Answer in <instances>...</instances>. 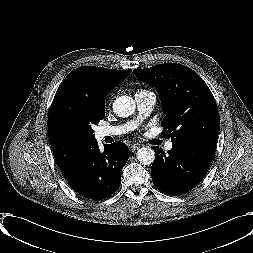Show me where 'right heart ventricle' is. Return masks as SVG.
<instances>
[{"instance_id":"right-heart-ventricle-1","label":"right heart ventricle","mask_w":253,"mask_h":253,"mask_svg":"<svg viewBox=\"0 0 253 253\" xmlns=\"http://www.w3.org/2000/svg\"><path fill=\"white\" fill-rule=\"evenodd\" d=\"M138 92H146V90H139Z\"/></svg>"}]
</instances>
